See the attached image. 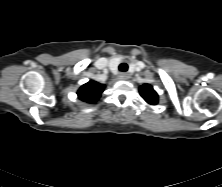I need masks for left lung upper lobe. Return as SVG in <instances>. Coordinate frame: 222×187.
<instances>
[{"label":"left lung upper lobe","mask_w":222,"mask_h":187,"mask_svg":"<svg viewBox=\"0 0 222 187\" xmlns=\"http://www.w3.org/2000/svg\"><path fill=\"white\" fill-rule=\"evenodd\" d=\"M139 92L142 98L150 105H156L158 103V94L149 84H143L139 87Z\"/></svg>","instance_id":"obj_1"}]
</instances>
